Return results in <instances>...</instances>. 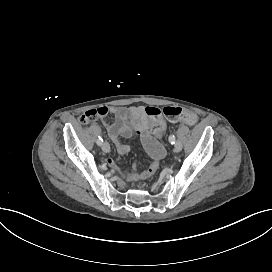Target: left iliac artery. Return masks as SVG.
Here are the masks:
<instances>
[{
	"label": "left iliac artery",
	"mask_w": 272,
	"mask_h": 272,
	"mask_svg": "<svg viewBox=\"0 0 272 272\" xmlns=\"http://www.w3.org/2000/svg\"><path fill=\"white\" fill-rule=\"evenodd\" d=\"M175 136L174 135H170L169 136V142L171 143V144H175Z\"/></svg>",
	"instance_id": "44dca946"
}]
</instances>
